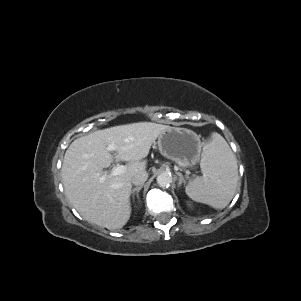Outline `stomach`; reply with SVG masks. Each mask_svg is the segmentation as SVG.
I'll return each instance as SVG.
<instances>
[{
  "label": "stomach",
  "instance_id": "1",
  "mask_svg": "<svg viewBox=\"0 0 301 301\" xmlns=\"http://www.w3.org/2000/svg\"><path fill=\"white\" fill-rule=\"evenodd\" d=\"M160 153L182 166H194L200 159V136L183 127L168 126L158 136Z\"/></svg>",
  "mask_w": 301,
  "mask_h": 301
}]
</instances>
